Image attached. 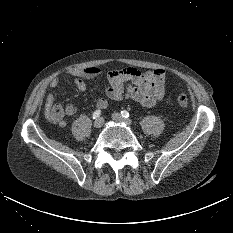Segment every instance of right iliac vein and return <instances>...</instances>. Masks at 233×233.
<instances>
[{"instance_id": "right-iliac-vein-1", "label": "right iliac vein", "mask_w": 233, "mask_h": 233, "mask_svg": "<svg viewBox=\"0 0 233 233\" xmlns=\"http://www.w3.org/2000/svg\"><path fill=\"white\" fill-rule=\"evenodd\" d=\"M103 124H104L103 118H98L94 122V127L97 128V129H99V128H101L103 126Z\"/></svg>"}]
</instances>
